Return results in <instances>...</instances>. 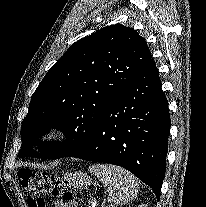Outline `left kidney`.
<instances>
[{"label": "left kidney", "mask_w": 206, "mask_h": 207, "mask_svg": "<svg viewBox=\"0 0 206 207\" xmlns=\"http://www.w3.org/2000/svg\"><path fill=\"white\" fill-rule=\"evenodd\" d=\"M138 207H146L145 205H140V206H138Z\"/></svg>", "instance_id": "1"}]
</instances>
